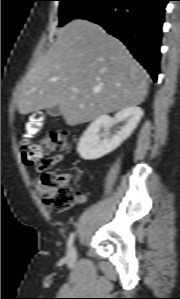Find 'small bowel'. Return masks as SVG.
<instances>
[{
    "mask_svg": "<svg viewBox=\"0 0 180 299\" xmlns=\"http://www.w3.org/2000/svg\"><path fill=\"white\" fill-rule=\"evenodd\" d=\"M64 156L62 154H56L54 156L49 157L48 159H46L41 165L37 166L35 168V172L37 173H42L45 170H48L52 167H54L56 164L60 163L61 161H63ZM66 178L69 180L70 176L66 175ZM36 189L40 192L43 193L44 192V186L41 182H38L36 184ZM80 200L83 199V196L79 197Z\"/></svg>",
    "mask_w": 180,
    "mask_h": 299,
    "instance_id": "small-bowel-1",
    "label": "small bowel"
}]
</instances>
